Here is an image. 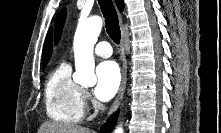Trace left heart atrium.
Wrapping results in <instances>:
<instances>
[{"instance_id": "39dd6f15", "label": "left heart atrium", "mask_w": 221, "mask_h": 133, "mask_svg": "<svg viewBox=\"0 0 221 133\" xmlns=\"http://www.w3.org/2000/svg\"><path fill=\"white\" fill-rule=\"evenodd\" d=\"M120 71L114 61H104L96 68L95 96L101 101L110 100L120 85Z\"/></svg>"}]
</instances>
